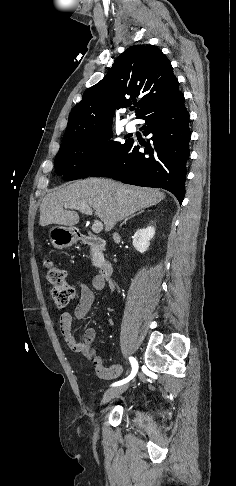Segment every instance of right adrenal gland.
Wrapping results in <instances>:
<instances>
[{
    "label": "right adrenal gland",
    "mask_w": 236,
    "mask_h": 486,
    "mask_svg": "<svg viewBox=\"0 0 236 486\" xmlns=\"http://www.w3.org/2000/svg\"><path fill=\"white\" fill-rule=\"evenodd\" d=\"M142 212H143V211H139V212L134 213V214L130 215L129 217H127V218H126V219H125V220H124V221H123V222L120 224V227H121L123 224H126V222H127L129 219H131V218L135 217L136 215H139V214H140V213H142Z\"/></svg>",
    "instance_id": "obj_1"
}]
</instances>
